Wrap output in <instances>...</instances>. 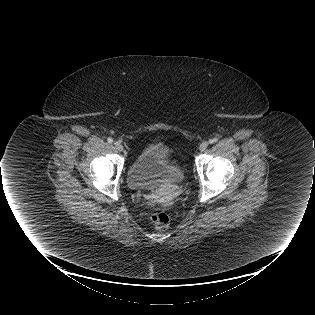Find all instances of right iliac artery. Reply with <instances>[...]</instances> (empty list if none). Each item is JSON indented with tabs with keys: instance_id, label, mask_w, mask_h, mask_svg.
<instances>
[{
	"instance_id": "right-iliac-artery-1",
	"label": "right iliac artery",
	"mask_w": 315,
	"mask_h": 315,
	"mask_svg": "<svg viewBox=\"0 0 315 315\" xmlns=\"http://www.w3.org/2000/svg\"><path fill=\"white\" fill-rule=\"evenodd\" d=\"M107 141H108L109 143H113V139H112L111 137H109V138L107 139Z\"/></svg>"
}]
</instances>
